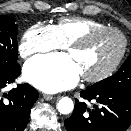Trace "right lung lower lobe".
I'll use <instances>...</instances> for the list:
<instances>
[{
  "label": "right lung lower lobe",
  "instance_id": "1",
  "mask_svg": "<svg viewBox=\"0 0 131 131\" xmlns=\"http://www.w3.org/2000/svg\"><path fill=\"white\" fill-rule=\"evenodd\" d=\"M21 68L9 74L0 75V92L7 84L15 81L20 75ZM6 100L0 98V131H23L29 120L30 110L38 99V92L29 84L13 88Z\"/></svg>",
  "mask_w": 131,
  "mask_h": 131
}]
</instances>
